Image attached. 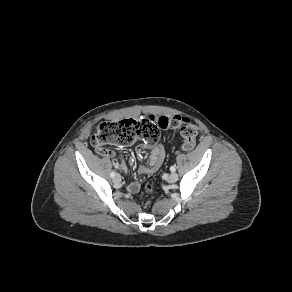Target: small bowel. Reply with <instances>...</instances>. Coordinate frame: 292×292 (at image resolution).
<instances>
[{
    "label": "small bowel",
    "mask_w": 292,
    "mask_h": 292,
    "mask_svg": "<svg viewBox=\"0 0 292 292\" xmlns=\"http://www.w3.org/2000/svg\"><path fill=\"white\" fill-rule=\"evenodd\" d=\"M144 147L149 149L150 154L147 164L140 166L138 168V173L150 174L155 172L161 166L164 160L165 152L162 144L157 142L150 143L147 141L145 142ZM141 148L142 147L138 148V152L141 151ZM98 153L101 154L102 156L111 158L113 160L115 167L118 170L122 171L125 174L128 172V166L126 161L122 158H118L113 151L108 149H102L101 151H98ZM134 162H135L134 158L131 157L129 163L133 165ZM126 188L130 193H137L140 189V184L136 181L128 182Z\"/></svg>",
    "instance_id": "obj_1"
}]
</instances>
